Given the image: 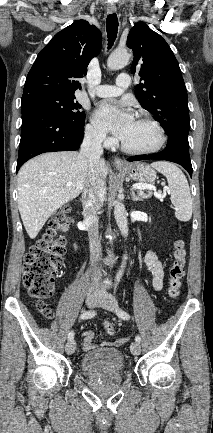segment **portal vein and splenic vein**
<instances>
[{
	"label": "portal vein and splenic vein",
	"mask_w": 213,
	"mask_h": 433,
	"mask_svg": "<svg viewBox=\"0 0 213 433\" xmlns=\"http://www.w3.org/2000/svg\"><path fill=\"white\" fill-rule=\"evenodd\" d=\"M72 183H67V186H71ZM133 189L135 190H144V189H148V190H154L156 191L155 187L152 185H146V184H134L133 185ZM155 197L162 200L164 195L162 194H158L157 192L154 193Z\"/></svg>",
	"instance_id": "1"
}]
</instances>
